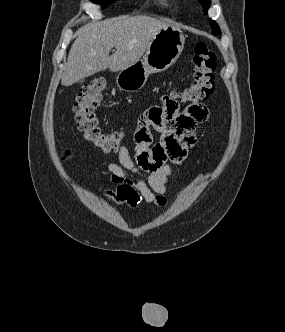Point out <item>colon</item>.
I'll list each match as a JSON object with an SVG mask.
<instances>
[{
  "instance_id": "1",
  "label": "colon",
  "mask_w": 285,
  "mask_h": 332,
  "mask_svg": "<svg viewBox=\"0 0 285 332\" xmlns=\"http://www.w3.org/2000/svg\"><path fill=\"white\" fill-rule=\"evenodd\" d=\"M216 55L203 42L194 47L192 56V74L189 85L180 92L169 96H178L180 104H197L205 100L214 90V70ZM105 89V81L96 79L84 85L77 95L74 105L75 120L79 131L85 140L96 148L109 153L117 151L123 140L120 131L105 132L99 125L95 110L99 106ZM63 159H69V153L63 154Z\"/></svg>"
}]
</instances>
